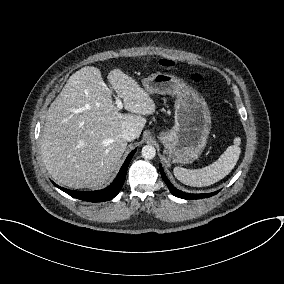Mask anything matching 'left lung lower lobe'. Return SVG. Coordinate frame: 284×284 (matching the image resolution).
I'll return each instance as SVG.
<instances>
[{"instance_id":"0a47b994","label":"left lung lower lobe","mask_w":284,"mask_h":284,"mask_svg":"<svg viewBox=\"0 0 284 284\" xmlns=\"http://www.w3.org/2000/svg\"><path fill=\"white\" fill-rule=\"evenodd\" d=\"M160 168V172H161V176H162V179L164 180V182L167 184L170 192L176 196V197H179V198H183V199H189V200H192V199H201V198H207V197H211L215 194H217L220 190L216 191V192H213V193H205V194H190V193H185V192H182L178 189H176L171 183L170 181L167 179L163 169L161 166H159Z\"/></svg>"}]
</instances>
